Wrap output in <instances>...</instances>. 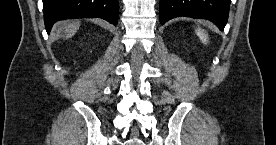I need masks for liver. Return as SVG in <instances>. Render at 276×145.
Masks as SVG:
<instances>
[{"instance_id":"6515ba94","label":"liver","mask_w":276,"mask_h":145,"mask_svg":"<svg viewBox=\"0 0 276 145\" xmlns=\"http://www.w3.org/2000/svg\"><path fill=\"white\" fill-rule=\"evenodd\" d=\"M79 26H80V22H73L68 24L64 37L66 39L71 38L77 32V30L79 29Z\"/></svg>"}]
</instances>
